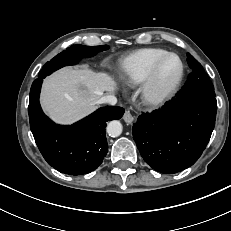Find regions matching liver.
Masks as SVG:
<instances>
[{"label": "liver", "instance_id": "liver-1", "mask_svg": "<svg viewBox=\"0 0 231 231\" xmlns=\"http://www.w3.org/2000/svg\"><path fill=\"white\" fill-rule=\"evenodd\" d=\"M116 90V82L107 73L88 67L63 68L44 80L41 105L53 121L70 124L94 111L104 92Z\"/></svg>", "mask_w": 231, "mask_h": 231}]
</instances>
